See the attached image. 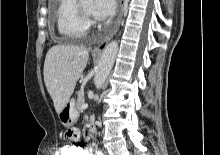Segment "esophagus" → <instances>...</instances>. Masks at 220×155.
I'll return each instance as SVG.
<instances>
[{
    "mask_svg": "<svg viewBox=\"0 0 220 155\" xmlns=\"http://www.w3.org/2000/svg\"><path fill=\"white\" fill-rule=\"evenodd\" d=\"M124 5H125V0H120V10H119V15H118L115 27L112 30L111 34L99 46L94 48V50H93L94 53L102 52L106 48L108 43L110 42L111 38L117 32V30L119 28V25H120V22H121V19H122V15H123V11H124Z\"/></svg>",
    "mask_w": 220,
    "mask_h": 155,
    "instance_id": "34e87169",
    "label": "esophagus"
}]
</instances>
